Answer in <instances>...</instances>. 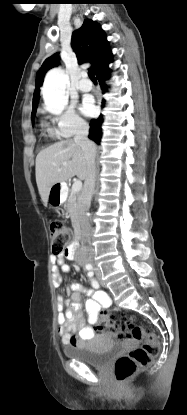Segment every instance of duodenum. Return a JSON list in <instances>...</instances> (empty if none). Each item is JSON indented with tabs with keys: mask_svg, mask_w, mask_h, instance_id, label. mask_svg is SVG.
<instances>
[{
	"mask_svg": "<svg viewBox=\"0 0 187 415\" xmlns=\"http://www.w3.org/2000/svg\"><path fill=\"white\" fill-rule=\"evenodd\" d=\"M80 240H81V229L79 228V226H76L75 227V243H73L72 247L69 250L70 256L73 255L76 245L80 242Z\"/></svg>",
	"mask_w": 187,
	"mask_h": 415,
	"instance_id": "1",
	"label": "duodenum"
}]
</instances>
